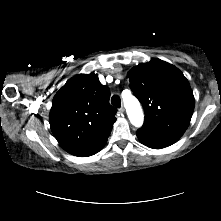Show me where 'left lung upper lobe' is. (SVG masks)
<instances>
[{
	"instance_id": "obj_1",
	"label": "left lung upper lobe",
	"mask_w": 221,
	"mask_h": 221,
	"mask_svg": "<svg viewBox=\"0 0 221 221\" xmlns=\"http://www.w3.org/2000/svg\"><path fill=\"white\" fill-rule=\"evenodd\" d=\"M128 77L145 111L142 128L181 137L189 126L195 104L183 73L167 62L152 59L135 66Z\"/></svg>"
}]
</instances>
